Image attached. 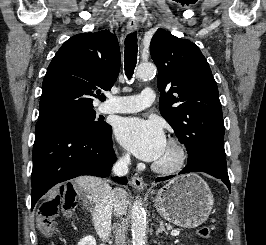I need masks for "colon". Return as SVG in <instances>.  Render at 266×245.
I'll return each instance as SVG.
<instances>
[{"label":"colon","instance_id":"obj_1","mask_svg":"<svg viewBox=\"0 0 266 245\" xmlns=\"http://www.w3.org/2000/svg\"><path fill=\"white\" fill-rule=\"evenodd\" d=\"M63 197L57 196L44 202L38 209L37 227L45 235L51 236L55 228V218L58 215ZM211 234L210 226H203L198 229L201 238H208Z\"/></svg>","mask_w":266,"mask_h":245}]
</instances>
